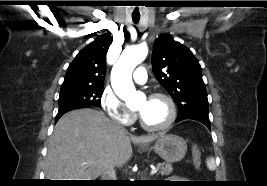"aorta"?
Listing matches in <instances>:
<instances>
[{"label":"aorta","mask_w":267,"mask_h":186,"mask_svg":"<svg viewBox=\"0 0 267 186\" xmlns=\"http://www.w3.org/2000/svg\"><path fill=\"white\" fill-rule=\"evenodd\" d=\"M148 48L145 45L132 46L123 51L111 71V84L116 95L127 105L137 103L139 93L136 91L132 72L135 67L145 60Z\"/></svg>","instance_id":"obj_1"}]
</instances>
